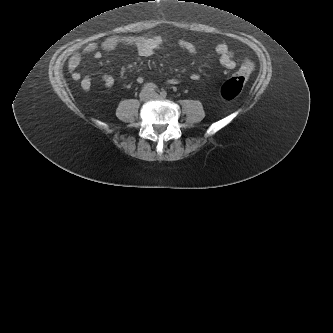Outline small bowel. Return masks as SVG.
I'll use <instances>...</instances> for the list:
<instances>
[{
    "label": "small bowel",
    "mask_w": 333,
    "mask_h": 333,
    "mask_svg": "<svg viewBox=\"0 0 333 333\" xmlns=\"http://www.w3.org/2000/svg\"><path fill=\"white\" fill-rule=\"evenodd\" d=\"M164 40L159 36H112L104 40L101 44L90 43L82 51V54H92L96 59H101L103 51L110 52L119 46H130L136 49L137 53L142 57L151 56L154 51L163 46ZM178 44L181 48L190 54H196L195 45L186 39H180ZM82 54L77 51H71L67 54V65L70 76L75 81H80L81 88L88 91L92 85L90 75L82 76L78 71V66L81 62ZM216 54L219 57L220 64L227 70H233L236 63L233 59V54L229 47L225 44H220L216 47ZM191 80H199L200 75L196 72L190 75ZM101 80L104 88L111 89L114 86L115 79L110 74H102ZM139 83L144 82V78L139 77ZM180 82L179 79L173 78L168 80L169 84L175 85Z\"/></svg>",
    "instance_id": "obj_1"
}]
</instances>
